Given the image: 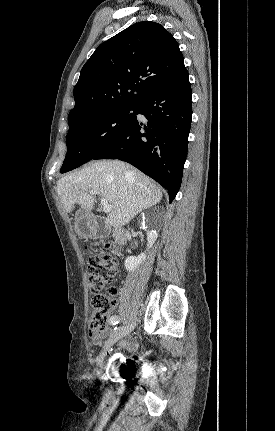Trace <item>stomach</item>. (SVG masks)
Returning a JSON list of instances; mask_svg holds the SVG:
<instances>
[{"instance_id": "1", "label": "stomach", "mask_w": 275, "mask_h": 431, "mask_svg": "<svg viewBox=\"0 0 275 431\" xmlns=\"http://www.w3.org/2000/svg\"><path fill=\"white\" fill-rule=\"evenodd\" d=\"M75 231L83 238H90L95 235V228L92 224L91 215L88 212L79 211L76 213Z\"/></svg>"}]
</instances>
